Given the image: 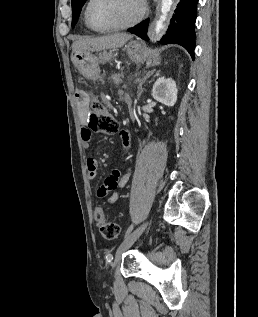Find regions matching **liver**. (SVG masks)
Returning a JSON list of instances; mask_svg holds the SVG:
<instances>
[{
	"instance_id": "obj_1",
	"label": "liver",
	"mask_w": 258,
	"mask_h": 317,
	"mask_svg": "<svg viewBox=\"0 0 258 317\" xmlns=\"http://www.w3.org/2000/svg\"><path fill=\"white\" fill-rule=\"evenodd\" d=\"M133 38V34L127 32H115V34H105V36H96V38H88V36H79L72 44L74 50H105V48H118L123 46L127 40Z\"/></svg>"
}]
</instances>
